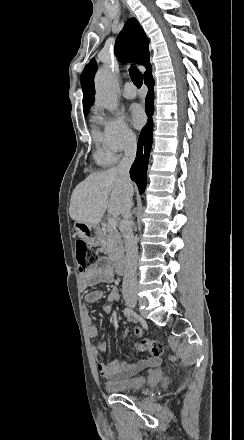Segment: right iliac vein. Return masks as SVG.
I'll return each mask as SVG.
<instances>
[{
	"label": "right iliac vein",
	"instance_id": "1",
	"mask_svg": "<svg viewBox=\"0 0 244 440\" xmlns=\"http://www.w3.org/2000/svg\"><path fill=\"white\" fill-rule=\"evenodd\" d=\"M125 302L130 307L137 306V297L135 295L125 297Z\"/></svg>",
	"mask_w": 244,
	"mask_h": 440
}]
</instances>
